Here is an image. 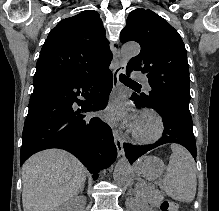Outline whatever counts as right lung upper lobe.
<instances>
[{
    "label": "right lung upper lobe",
    "mask_w": 219,
    "mask_h": 211,
    "mask_svg": "<svg viewBox=\"0 0 219 211\" xmlns=\"http://www.w3.org/2000/svg\"><path fill=\"white\" fill-rule=\"evenodd\" d=\"M112 57L99 14L83 11L51 30L40 52L34 79L89 76L108 66Z\"/></svg>",
    "instance_id": "right-lung-upper-lobe-1"
}]
</instances>
